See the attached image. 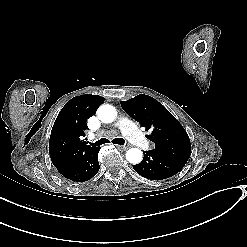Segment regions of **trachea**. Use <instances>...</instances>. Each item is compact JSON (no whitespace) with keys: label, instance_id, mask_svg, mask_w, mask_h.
<instances>
[{"label":"trachea","instance_id":"3493384b","mask_svg":"<svg viewBox=\"0 0 247 247\" xmlns=\"http://www.w3.org/2000/svg\"><path fill=\"white\" fill-rule=\"evenodd\" d=\"M105 143H110V141L106 138H101L100 140H97L96 142H89L90 145H93V146H100L102 144H105ZM113 144H117V145H124L125 144V140L123 138H115L113 139L112 141Z\"/></svg>","mask_w":247,"mask_h":247}]
</instances>
